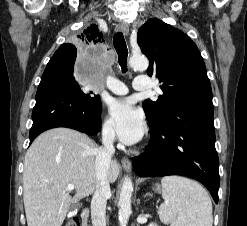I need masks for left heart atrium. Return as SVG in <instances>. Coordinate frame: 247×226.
Returning a JSON list of instances; mask_svg holds the SVG:
<instances>
[{"instance_id": "1", "label": "left heart atrium", "mask_w": 247, "mask_h": 226, "mask_svg": "<svg viewBox=\"0 0 247 226\" xmlns=\"http://www.w3.org/2000/svg\"><path fill=\"white\" fill-rule=\"evenodd\" d=\"M109 114L119 139L131 145L143 137L146 123L143 113L129 98L113 99L109 102Z\"/></svg>"}]
</instances>
